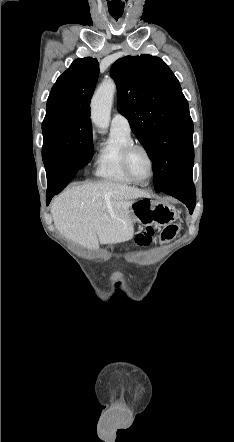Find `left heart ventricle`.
I'll return each instance as SVG.
<instances>
[{
	"mask_svg": "<svg viewBox=\"0 0 234 442\" xmlns=\"http://www.w3.org/2000/svg\"><path fill=\"white\" fill-rule=\"evenodd\" d=\"M129 164L132 173L138 180L142 182L148 180L151 174V166L150 161L143 150H133L130 155Z\"/></svg>",
	"mask_w": 234,
	"mask_h": 442,
	"instance_id": "left-heart-ventricle-1",
	"label": "left heart ventricle"
}]
</instances>
